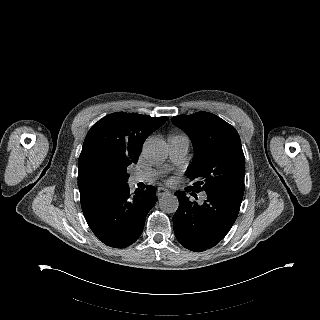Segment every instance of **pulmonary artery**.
I'll list each match as a JSON object with an SVG mask.
<instances>
[{
  "label": "pulmonary artery",
  "instance_id": "obj_1",
  "mask_svg": "<svg viewBox=\"0 0 320 320\" xmlns=\"http://www.w3.org/2000/svg\"><path fill=\"white\" fill-rule=\"evenodd\" d=\"M169 144L171 162L177 164L183 161V159L186 157L189 151V138L185 135L172 136L169 138ZM164 172V169L138 171L130 176L129 181L131 184H137L140 182H150L157 178L159 175L163 174ZM205 198V195L201 196L202 200H204Z\"/></svg>",
  "mask_w": 320,
  "mask_h": 320
}]
</instances>
